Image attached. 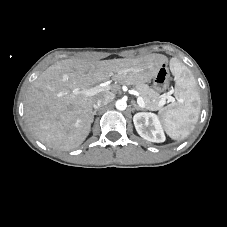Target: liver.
Listing matches in <instances>:
<instances>
[{"instance_id": "liver-1", "label": "liver", "mask_w": 227, "mask_h": 227, "mask_svg": "<svg viewBox=\"0 0 227 227\" xmlns=\"http://www.w3.org/2000/svg\"><path fill=\"white\" fill-rule=\"evenodd\" d=\"M167 62L161 54L134 59H65L48 67L27 89L24 117L28 129L44 145L70 151L87 138L93 104L107 91L86 96L85 91L109 80L134 85L149 82Z\"/></svg>"}]
</instances>
